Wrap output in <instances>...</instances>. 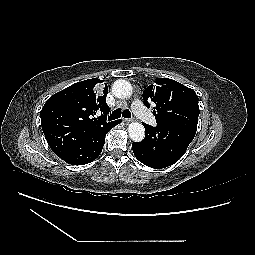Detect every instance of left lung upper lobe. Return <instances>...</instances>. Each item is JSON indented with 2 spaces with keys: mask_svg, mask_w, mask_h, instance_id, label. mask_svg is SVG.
Instances as JSON below:
<instances>
[{
  "mask_svg": "<svg viewBox=\"0 0 255 255\" xmlns=\"http://www.w3.org/2000/svg\"><path fill=\"white\" fill-rule=\"evenodd\" d=\"M144 105L155 103L153 114L158 125L197 130L199 106L195 91L169 78L156 79L143 92Z\"/></svg>",
  "mask_w": 255,
  "mask_h": 255,
  "instance_id": "5c2ea615",
  "label": "left lung upper lobe"
}]
</instances>
